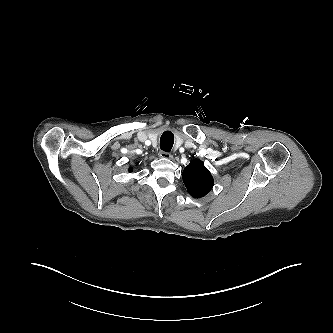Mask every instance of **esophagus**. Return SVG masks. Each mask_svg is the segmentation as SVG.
<instances>
[{"label":"esophagus","instance_id":"1","mask_svg":"<svg viewBox=\"0 0 333 333\" xmlns=\"http://www.w3.org/2000/svg\"><path fill=\"white\" fill-rule=\"evenodd\" d=\"M159 156L163 159H172V155L169 152L161 151Z\"/></svg>","mask_w":333,"mask_h":333}]
</instances>
